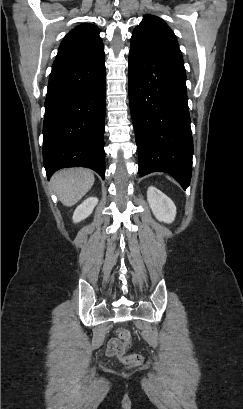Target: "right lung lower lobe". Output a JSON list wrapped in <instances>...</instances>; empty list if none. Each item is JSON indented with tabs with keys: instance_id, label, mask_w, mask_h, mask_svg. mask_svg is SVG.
Returning a JSON list of instances; mask_svg holds the SVG:
<instances>
[{
	"instance_id": "1",
	"label": "right lung lower lobe",
	"mask_w": 243,
	"mask_h": 409,
	"mask_svg": "<svg viewBox=\"0 0 243 409\" xmlns=\"http://www.w3.org/2000/svg\"><path fill=\"white\" fill-rule=\"evenodd\" d=\"M104 47L52 68L45 100L43 161L48 179L66 167L93 169L103 179Z\"/></svg>"
}]
</instances>
